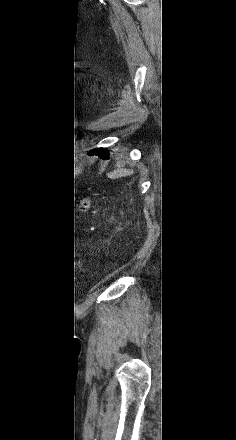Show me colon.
<instances>
[{"mask_svg": "<svg viewBox=\"0 0 236 440\" xmlns=\"http://www.w3.org/2000/svg\"><path fill=\"white\" fill-rule=\"evenodd\" d=\"M78 205L84 214L89 212L90 200L88 198H82L78 201Z\"/></svg>", "mask_w": 236, "mask_h": 440, "instance_id": "5ec220e1", "label": "colon"}]
</instances>
